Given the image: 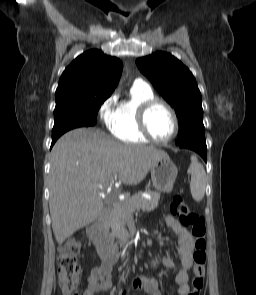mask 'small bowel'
Here are the masks:
<instances>
[{
	"instance_id": "obj_1",
	"label": "small bowel",
	"mask_w": 256,
	"mask_h": 295,
	"mask_svg": "<svg viewBox=\"0 0 256 295\" xmlns=\"http://www.w3.org/2000/svg\"><path fill=\"white\" fill-rule=\"evenodd\" d=\"M165 221L167 226L178 237V254L180 256V270L176 275L175 281L178 285V295H188L189 292V270L192 266V249L194 240L191 234L186 228L173 216L165 215ZM118 260V254H115L110 260L103 261L99 266L94 267L88 278L87 287L83 292V295H94L100 291H107L112 288V269L116 261ZM163 265L166 268L172 269L175 267V262L170 257L163 259ZM156 270V262L153 260L148 261L147 271L139 278L133 279L126 287L119 290L117 295H127L132 289L144 290L148 295H162L158 280L156 279L154 272Z\"/></svg>"
}]
</instances>
